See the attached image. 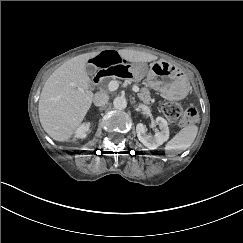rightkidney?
<instances>
[{"instance_id": "obj_1", "label": "right kidney", "mask_w": 243, "mask_h": 243, "mask_svg": "<svg viewBox=\"0 0 243 243\" xmlns=\"http://www.w3.org/2000/svg\"><path fill=\"white\" fill-rule=\"evenodd\" d=\"M89 129L88 124H83L81 125L75 132V136L73 140H76L77 138H83L85 132Z\"/></svg>"}]
</instances>
